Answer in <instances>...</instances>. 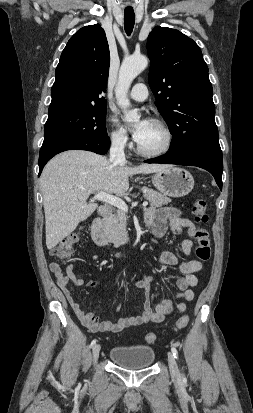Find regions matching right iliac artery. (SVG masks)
I'll return each instance as SVG.
<instances>
[{"instance_id": "right-iliac-artery-1", "label": "right iliac artery", "mask_w": 253, "mask_h": 413, "mask_svg": "<svg viewBox=\"0 0 253 413\" xmlns=\"http://www.w3.org/2000/svg\"><path fill=\"white\" fill-rule=\"evenodd\" d=\"M96 344V340L94 339L92 342H91V347H93L94 345Z\"/></svg>"}]
</instances>
